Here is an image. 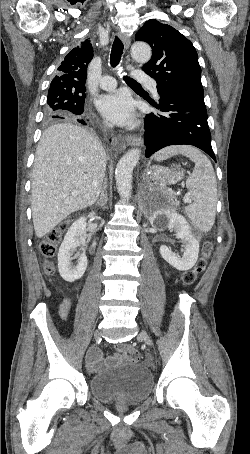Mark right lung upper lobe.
I'll return each instance as SVG.
<instances>
[{"instance_id":"cb5924a9","label":"right lung upper lobe","mask_w":250,"mask_h":454,"mask_svg":"<svg viewBox=\"0 0 250 454\" xmlns=\"http://www.w3.org/2000/svg\"><path fill=\"white\" fill-rule=\"evenodd\" d=\"M93 58V49L89 40L73 48L58 67V74L52 80L50 87L73 90L85 86L87 67Z\"/></svg>"}]
</instances>
